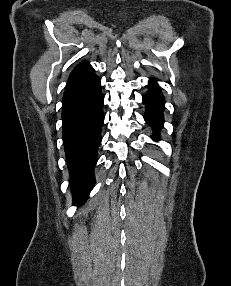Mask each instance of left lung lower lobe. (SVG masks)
<instances>
[{"instance_id": "obj_1", "label": "left lung lower lobe", "mask_w": 231, "mask_h": 286, "mask_svg": "<svg viewBox=\"0 0 231 286\" xmlns=\"http://www.w3.org/2000/svg\"><path fill=\"white\" fill-rule=\"evenodd\" d=\"M143 103L147 108L144 115L145 121L158 131L163 126L164 98L154 79L149 81V91L143 96ZM153 139L158 140L159 137L153 136Z\"/></svg>"}]
</instances>
